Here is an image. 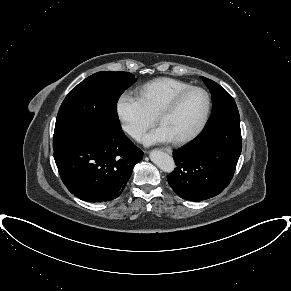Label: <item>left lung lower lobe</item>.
<instances>
[{
  "instance_id": "0a47b994",
  "label": "left lung lower lobe",
  "mask_w": 291,
  "mask_h": 291,
  "mask_svg": "<svg viewBox=\"0 0 291 291\" xmlns=\"http://www.w3.org/2000/svg\"><path fill=\"white\" fill-rule=\"evenodd\" d=\"M241 149L240 126L216 127L173 152L177 167L167 176L168 183L186 200L198 201L215 196L233 178Z\"/></svg>"
}]
</instances>
